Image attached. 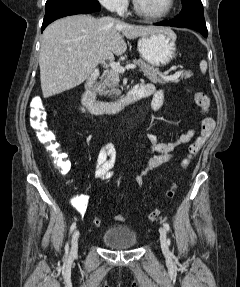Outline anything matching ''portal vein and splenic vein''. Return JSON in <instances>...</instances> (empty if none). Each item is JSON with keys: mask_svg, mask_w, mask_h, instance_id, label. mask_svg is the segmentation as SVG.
Listing matches in <instances>:
<instances>
[{"mask_svg": "<svg viewBox=\"0 0 240 287\" xmlns=\"http://www.w3.org/2000/svg\"><path fill=\"white\" fill-rule=\"evenodd\" d=\"M110 67L119 72V73H124V71L127 69H135L136 68V65L135 64H128L126 65L125 67L121 66L119 63H116L114 61H110ZM181 75V71H177L175 72L173 75H170V76H166V75H162V78L163 79H166V80H175L177 79L179 76Z\"/></svg>", "mask_w": 240, "mask_h": 287, "instance_id": "portal-vein-and-splenic-vein-1", "label": "portal vein and splenic vein"}]
</instances>
